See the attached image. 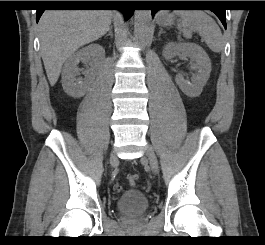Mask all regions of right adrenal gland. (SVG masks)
Listing matches in <instances>:
<instances>
[{"label": "right adrenal gland", "instance_id": "1", "mask_svg": "<svg viewBox=\"0 0 265 245\" xmlns=\"http://www.w3.org/2000/svg\"><path fill=\"white\" fill-rule=\"evenodd\" d=\"M110 36L113 38V33H112V27L109 28L108 33L105 35V37Z\"/></svg>", "mask_w": 265, "mask_h": 245}]
</instances>
